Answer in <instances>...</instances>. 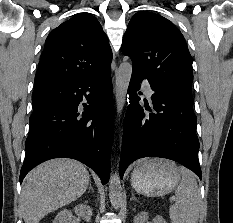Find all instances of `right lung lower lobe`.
I'll return each mask as SVG.
<instances>
[{"label": "right lung lower lobe", "instance_id": "right-lung-lower-lobe-1", "mask_svg": "<svg viewBox=\"0 0 233 223\" xmlns=\"http://www.w3.org/2000/svg\"><path fill=\"white\" fill-rule=\"evenodd\" d=\"M32 106L20 183L36 165L65 157L86 164L106 184L114 135L111 68L91 78L36 88Z\"/></svg>", "mask_w": 233, "mask_h": 223}]
</instances>
